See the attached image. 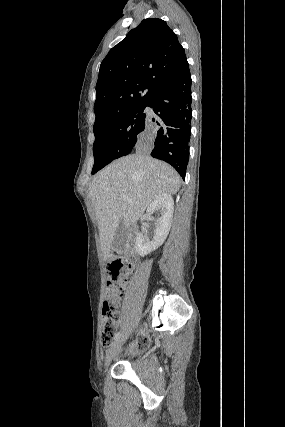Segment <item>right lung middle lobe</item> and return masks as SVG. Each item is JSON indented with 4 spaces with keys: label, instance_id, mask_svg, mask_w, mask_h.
<instances>
[{
    "label": "right lung middle lobe",
    "instance_id": "dd1d6c3e",
    "mask_svg": "<svg viewBox=\"0 0 285 427\" xmlns=\"http://www.w3.org/2000/svg\"><path fill=\"white\" fill-rule=\"evenodd\" d=\"M148 102L123 109L93 128L94 166L92 174L114 159L129 154L142 138Z\"/></svg>",
    "mask_w": 285,
    "mask_h": 427
}]
</instances>
